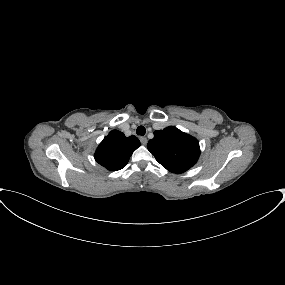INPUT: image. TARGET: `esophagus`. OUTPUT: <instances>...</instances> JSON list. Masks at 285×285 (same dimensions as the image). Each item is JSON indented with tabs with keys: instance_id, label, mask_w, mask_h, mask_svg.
Here are the masks:
<instances>
[{
	"instance_id": "1",
	"label": "esophagus",
	"mask_w": 285,
	"mask_h": 285,
	"mask_svg": "<svg viewBox=\"0 0 285 285\" xmlns=\"http://www.w3.org/2000/svg\"><path fill=\"white\" fill-rule=\"evenodd\" d=\"M140 142L143 144V145H146L147 143V138L146 137H140Z\"/></svg>"
}]
</instances>
